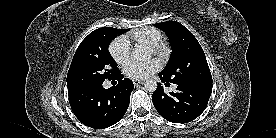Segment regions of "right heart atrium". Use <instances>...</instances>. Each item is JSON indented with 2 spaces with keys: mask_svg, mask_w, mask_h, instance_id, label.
<instances>
[{
  "mask_svg": "<svg viewBox=\"0 0 276 138\" xmlns=\"http://www.w3.org/2000/svg\"><path fill=\"white\" fill-rule=\"evenodd\" d=\"M109 53L118 64H126L130 58L129 42L125 37H117L110 44Z\"/></svg>",
  "mask_w": 276,
  "mask_h": 138,
  "instance_id": "1",
  "label": "right heart atrium"
}]
</instances>
